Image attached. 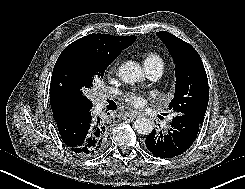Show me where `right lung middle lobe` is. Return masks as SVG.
<instances>
[{
  "instance_id": "dd1d6c3e",
  "label": "right lung middle lobe",
  "mask_w": 245,
  "mask_h": 189,
  "mask_svg": "<svg viewBox=\"0 0 245 189\" xmlns=\"http://www.w3.org/2000/svg\"><path fill=\"white\" fill-rule=\"evenodd\" d=\"M109 64L93 57H80L62 67L57 78V88L72 110L91 106L86 94L95 81L103 78Z\"/></svg>"
}]
</instances>
